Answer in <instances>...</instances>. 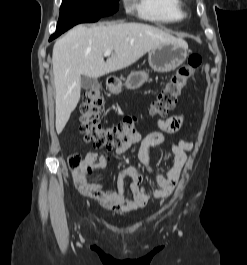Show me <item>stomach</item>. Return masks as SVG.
Returning a JSON list of instances; mask_svg holds the SVG:
<instances>
[{"label": "stomach", "mask_w": 247, "mask_h": 265, "mask_svg": "<svg viewBox=\"0 0 247 265\" xmlns=\"http://www.w3.org/2000/svg\"><path fill=\"white\" fill-rule=\"evenodd\" d=\"M188 56V45L184 42L162 43L149 52V65L156 72H170L179 67ZM149 78L145 71H134L126 79L127 89H137ZM122 82H110L107 84L109 91L119 94L122 91Z\"/></svg>", "instance_id": "obj_1"}]
</instances>
